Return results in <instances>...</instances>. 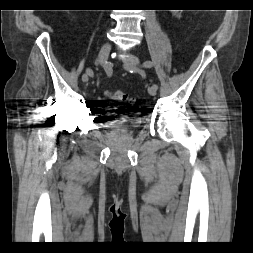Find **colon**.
Instances as JSON below:
<instances>
[{
	"instance_id": "1",
	"label": "colon",
	"mask_w": 253,
	"mask_h": 253,
	"mask_svg": "<svg viewBox=\"0 0 253 253\" xmlns=\"http://www.w3.org/2000/svg\"><path fill=\"white\" fill-rule=\"evenodd\" d=\"M107 95L110 99L117 101V102H131V99L129 98V96L122 92V91H108Z\"/></svg>"
}]
</instances>
